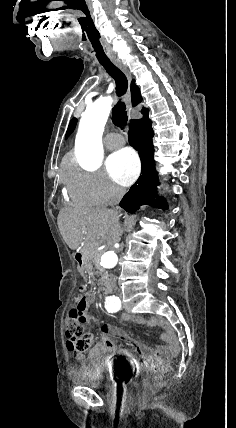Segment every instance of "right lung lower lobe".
I'll return each instance as SVG.
<instances>
[{
    "instance_id": "98d812e1",
    "label": "right lung lower lobe",
    "mask_w": 236,
    "mask_h": 428,
    "mask_svg": "<svg viewBox=\"0 0 236 428\" xmlns=\"http://www.w3.org/2000/svg\"><path fill=\"white\" fill-rule=\"evenodd\" d=\"M153 135L148 114H145L143 119L135 120L130 125L129 142L139 152L142 174L120 202V206L129 213H134L142 205L167 209L165 199L158 197L156 190L159 181L154 167Z\"/></svg>"
}]
</instances>
